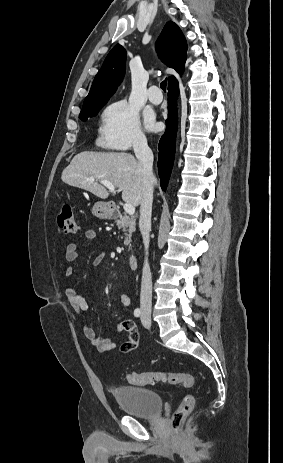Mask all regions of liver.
Masks as SVG:
<instances>
[{"instance_id": "1", "label": "liver", "mask_w": 283, "mask_h": 463, "mask_svg": "<svg viewBox=\"0 0 283 463\" xmlns=\"http://www.w3.org/2000/svg\"><path fill=\"white\" fill-rule=\"evenodd\" d=\"M61 179L101 199L108 198L109 191L99 180H107L122 192V199L126 203L138 206L142 199L141 166L130 153L81 152L63 170Z\"/></svg>"}]
</instances>
